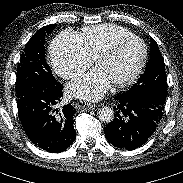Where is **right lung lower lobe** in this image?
Masks as SVG:
<instances>
[{"mask_svg": "<svg viewBox=\"0 0 183 183\" xmlns=\"http://www.w3.org/2000/svg\"><path fill=\"white\" fill-rule=\"evenodd\" d=\"M62 85L57 82L49 88H29L17 99L22 127L37 147L51 152L65 151L75 140L71 104L57 108L63 96Z\"/></svg>", "mask_w": 183, "mask_h": 183, "instance_id": "1", "label": "right lung lower lobe"}]
</instances>
